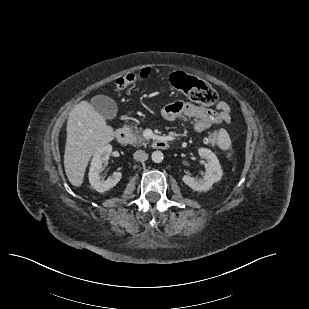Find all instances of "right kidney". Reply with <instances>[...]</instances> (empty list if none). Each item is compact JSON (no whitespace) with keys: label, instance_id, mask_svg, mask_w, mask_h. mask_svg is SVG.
<instances>
[{"label":"right kidney","instance_id":"ca27d5eb","mask_svg":"<svg viewBox=\"0 0 309 309\" xmlns=\"http://www.w3.org/2000/svg\"><path fill=\"white\" fill-rule=\"evenodd\" d=\"M111 152L112 146L105 145L94 154L91 161V166L89 169V182L91 187L100 193H104L116 186L122 178V174L120 172H113L112 176L108 177L106 180H103L100 175L102 164L104 161L109 159Z\"/></svg>","mask_w":309,"mask_h":309}]
</instances>
